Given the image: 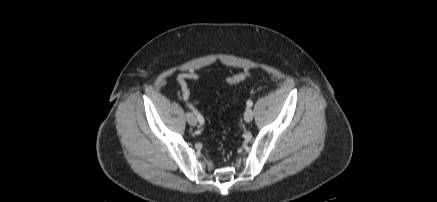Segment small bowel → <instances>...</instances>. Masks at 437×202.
Here are the masks:
<instances>
[{
	"label": "small bowel",
	"mask_w": 437,
	"mask_h": 202,
	"mask_svg": "<svg viewBox=\"0 0 437 202\" xmlns=\"http://www.w3.org/2000/svg\"><path fill=\"white\" fill-rule=\"evenodd\" d=\"M200 79L199 74L196 72H184L178 75L177 82L181 89V98L187 100L190 97V89L188 86V80L198 81ZM199 104L198 101H192L189 105L194 108Z\"/></svg>",
	"instance_id": "small-bowel-1"
}]
</instances>
